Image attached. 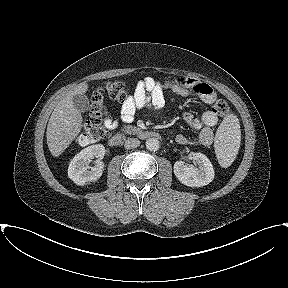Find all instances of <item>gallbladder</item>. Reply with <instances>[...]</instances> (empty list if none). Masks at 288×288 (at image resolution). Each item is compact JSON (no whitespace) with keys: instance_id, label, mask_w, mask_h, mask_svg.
Returning <instances> with one entry per match:
<instances>
[{"instance_id":"gallbladder-1","label":"gallbladder","mask_w":288,"mask_h":288,"mask_svg":"<svg viewBox=\"0 0 288 288\" xmlns=\"http://www.w3.org/2000/svg\"><path fill=\"white\" fill-rule=\"evenodd\" d=\"M73 104L76 109L85 112L89 108V100L86 95L78 94L73 96Z\"/></svg>"}]
</instances>
